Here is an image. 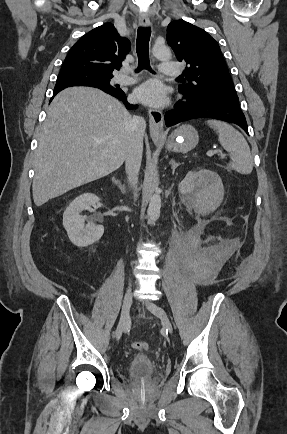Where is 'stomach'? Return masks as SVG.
Returning <instances> with one entry per match:
<instances>
[{
	"label": "stomach",
	"instance_id": "1",
	"mask_svg": "<svg viewBox=\"0 0 287 434\" xmlns=\"http://www.w3.org/2000/svg\"><path fill=\"white\" fill-rule=\"evenodd\" d=\"M198 141L196 130L190 125H182L169 136L165 145L172 152H188L198 144ZM154 142L159 144V140L154 139Z\"/></svg>",
	"mask_w": 287,
	"mask_h": 434
}]
</instances>
